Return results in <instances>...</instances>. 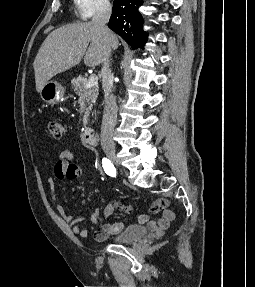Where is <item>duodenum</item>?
<instances>
[{"instance_id":"410a0bca","label":"duodenum","mask_w":255,"mask_h":287,"mask_svg":"<svg viewBox=\"0 0 255 287\" xmlns=\"http://www.w3.org/2000/svg\"><path fill=\"white\" fill-rule=\"evenodd\" d=\"M83 140L88 145H94L96 142L94 130L91 127H86L83 130Z\"/></svg>"}]
</instances>
